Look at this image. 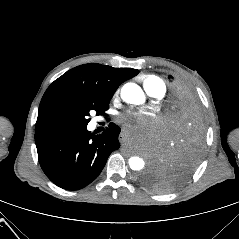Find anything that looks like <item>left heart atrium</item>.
Wrapping results in <instances>:
<instances>
[{
    "label": "left heart atrium",
    "mask_w": 239,
    "mask_h": 239,
    "mask_svg": "<svg viewBox=\"0 0 239 239\" xmlns=\"http://www.w3.org/2000/svg\"><path fill=\"white\" fill-rule=\"evenodd\" d=\"M131 116H134L136 118V123H130L128 121L125 122V128L127 130H140L144 131L145 133L152 132L154 125L145 118L144 113L135 112L132 113Z\"/></svg>",
    "instance_id": "1"
}]
</instances>
